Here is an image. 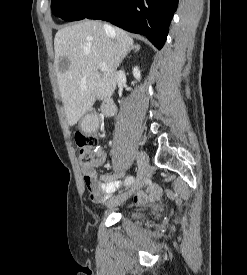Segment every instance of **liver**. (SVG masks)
I'll list each match as a JSON object with an SVG mask.
<instances>
[{
  "instance_id": "1",
  "label": "liver",
  "mask_w": 247,
  "mask_h": 275,
  "mask_svg": "<svg viewBox=\"0 0 247 275\" xmlns=\"http://www.w3.org/2000/svg\"><path fill=\"white\" fill-rule=\"evenodd\" d=\"M134 41L120 28L106 31L98 21H82L66 26L55 35V70L65 114L75 125L95 100L112 96L116 89V69ZM105 63L107 71L99 73Z\"/></svg>"
}]
</instances>
